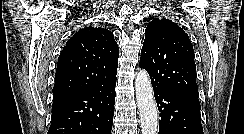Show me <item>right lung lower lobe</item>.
Masks as SVG:
<instances>
[{"instance_id": "98d812e1", "label": "right lung lower lobe", "mask_w": 244, "mask_h": 134, "mask_svg": "<svg viewBox=\"0 0 244 134\" xmlns=\"http://www.w3.org/2000/svg\"><path fill=\"white\" fill-rule=\"evenodd\" d=\"M116 77L92 89L53 96L48 134H111Z\"/></svg>"}]
</instances>
